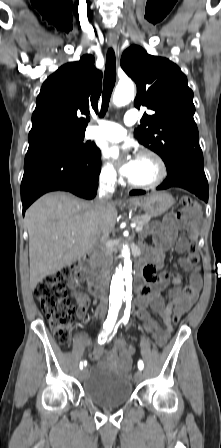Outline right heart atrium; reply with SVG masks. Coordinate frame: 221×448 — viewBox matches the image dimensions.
<instances>
[{
    "label": "right heart atrium",
    "mask_w": 221,
    "mask_h": 448,
    "mask_svg": "<svg viewBox=\"0 0 221 448\" xmlns=\"http://www.w3.org/2000/svg\"><path fill=\"white\" fill-rule=\"evenodd\" d=\"M100 181L101 183L113 186L118 182V174L114 166L109 162H104L100 169Z\"/></svg>",
    "instance_id": "right-heart-atrium-1"
}]
</instances>
